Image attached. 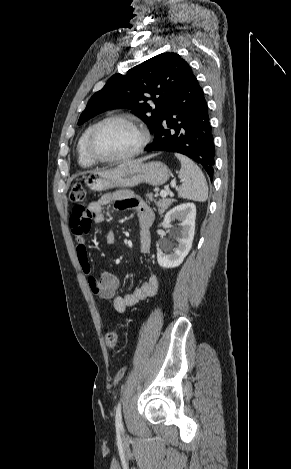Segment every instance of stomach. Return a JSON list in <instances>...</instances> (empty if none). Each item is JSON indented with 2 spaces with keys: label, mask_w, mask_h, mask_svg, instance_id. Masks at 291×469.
I'll return each instance as SVG.
<instances>
[{
  "label": "stomach",
  "mask_w": 291,
  "mask_h": 469,
  "mask_svg": "<svg viewBox=\"0 0 291 469\" xmlns=\"http://www.w3.org/2000/svg\"><path fill=\"white\" fill-rule=\"evenodd\" d=\"M170 177L169 168L162 162H137L116 168L92 172L85 178L86 185L93 191H105L110 188H130L141 183L159 186Z\"/></svg>",
  "instance_id": "0dacf381"
}]
</instances>
